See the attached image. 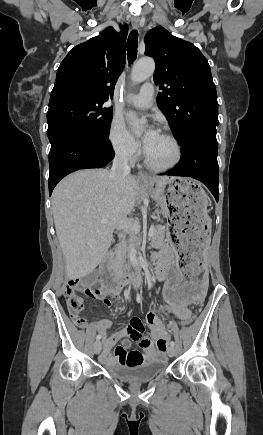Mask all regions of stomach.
<instances>
[{"mask_svg": "<svg viewBox=\"0 0 263 435\" xmlns=\"http://www.w3.org/2000/svg\"><path fill=\"white\" fill-rule=\"evenodd\" d=\"M155 185V188H154ZM152 198L172 224H167L172 261H163L164 279L158 292L165 305H201L209 288V269L204 260L211 247L212 216L201 185L189 178H152L147 184Z\"/></svg>", "mask_w": 263, "mask_h": 435, "instance_id": "stomach-1", "label": "stomach"}]
</instances>
